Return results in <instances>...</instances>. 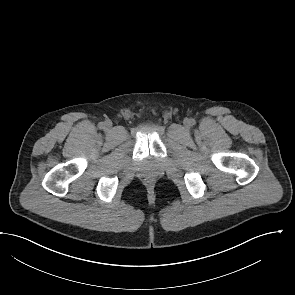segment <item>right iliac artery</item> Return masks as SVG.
<instances>
[{"mask_svg": "<svg viewBox=\"0 0 295 295\" xmlns=\"http://www.w3.org/2000/svg\"><path fill=\"white\" fill-rule=\"evenodd\" d=\"M98 126H99L100 129H103L104 128V123L100 122Z\"/></svg>", "mask_w": 295, "mask_h": 295, "instance_id": "1", "label": "right iliac artery"}]
</instances>
